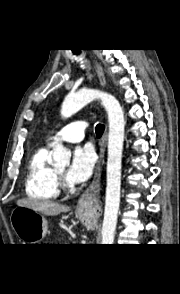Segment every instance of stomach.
I'll return each instance as SVG.
<instances>
[{"label":"stomach","mask_w":180,"mask_h":294,"mask_svg":"<svg viewBox=\"0 0 180 294\" xmlns=\"http://www.w3.org/2000/svg\"><path fill=\"white\" fill-rule=\"evenodd\" d=\"M88 225L89 216L84 212L77 214ZM11 225L16 235L24 244H37L47 234L48 223L45 217L28 207L17 206L11 213ZM93 226V225H89Z\"/></svg>","instance_id":"obj_1"}]
</instances>
